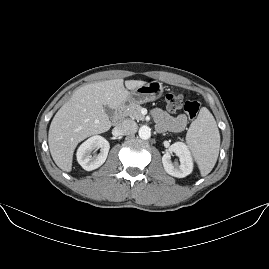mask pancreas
<instances>
[{"label":"pancreas","mask_w":269,"mask_h":269,"mask_svg":"<svg viewBox=\"0 0 269 269\" xmlns=\"http://www.w3.org/2000/svg\"><path fill=\"white\" fill-rule=\"evenodd\" d=\"M142 107L139 104L131 103L127 108L125 115L136 120H144V115L141 113Z\"/></svg>","instance_id":"cf45deb5"}]
</instances>
